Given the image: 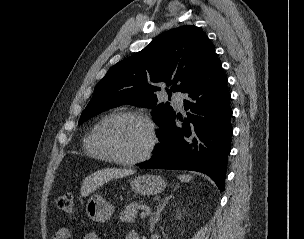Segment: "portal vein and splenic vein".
I'll use <instances>...</instances> for the list:
<instances>
[{"mask_svg":"<svg viewBox=\"0 0 304 239\" xmlns=\"http://www.w3.org/2000/svg\"><path fill=\"white\" fill-rule=\"evenodd\" d=\"M149 211H150V209L147 208V209H145V212H141V213H140V218H141V219L145 218L146 215L149 213Z\"/></svg>","mask_w":304,"mask_h":239,"instance_id":"portal-vein-and-splenic-vein-1","label":"portal vein and splenic vein"}]
</instances>
